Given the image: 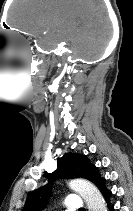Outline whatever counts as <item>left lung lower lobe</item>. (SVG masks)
<instances>
[{
    "instance_id": "obj_1",
    "label": "left lung lower lobe",
    "mask_w": 133,
    "mask_h": 211,
    "mask_svg": "<svg viewBox=\"0 0 133 211\" xmlns=\"http://www.w3.org/2000/svg\"><path fill=\"white\" fill-rule=\"evenodd\" d=\"M101 193L103 194L104 198L106 199L107 206L110 211L114 210V206L110 203V197L112 195V192L108 188H104Z\"/></svg>"
}]
</instances>
